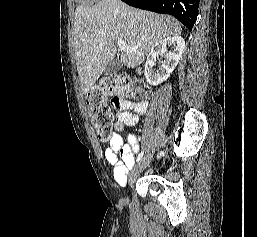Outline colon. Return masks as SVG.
Returning a JSON list of instances; mask_svg holds the SVG:
<instances>
[{
    "label": "colon",
    "instance_id": "colon-1",
    "mask_svg": "<svg viewBox=\"0 0 257 237\" xmlns=\"http://www.w3.org/2000/svg\"><path fill=\"white\" fill-rule=\"evenodd\" d=\"M136 94L134 84L126 77L109 76L101 79L88 93L87 107L92 124L102 141H107L112 135L113 113L112 105L131 99Z\"/></svg>",
    "mask_w": 257,
    "mask_h": 237
}]
</instances>
